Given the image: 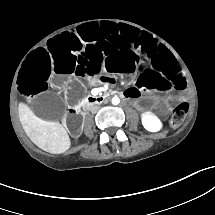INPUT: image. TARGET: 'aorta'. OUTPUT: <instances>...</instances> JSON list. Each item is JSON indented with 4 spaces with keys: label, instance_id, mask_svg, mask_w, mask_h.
Returning <instances> with one entry per match:
<instances>
[{
    "label": "aorta",
    "instance_id": "1",
    "mask_svg": "<svg viewBox=\"0 0 215 215\" xmlns=\"http://www.w3.org/2000/svg\"><path fill=\"white\" fill-rule=\"evenodd\" d=\"M119 103H120L119 97L114 96V97L112 98V104H113V105H118Z\"/></svg>",
    "mask_w": 215,
    "mask_h": 215
}]
</instances>
